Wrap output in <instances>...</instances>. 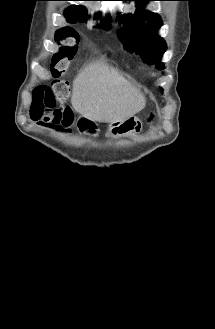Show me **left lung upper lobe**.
Segmentation results:
<instances>
[{"label": "left lung upper lobe", "mask_w": 215, "mask_h": 329, "mask_svg": "<svg viewBox=\"0 0 215 329\" xmlns=\"http://www.w3.org/2000/svg\"><path fill=\"white\" fill-rule=\"evenodd\" d=\"M121 1H135L138 6H143L153 0ZM118 19L126 25L119 30L124 48L142 55L148 64H155L157 69H164L161 57L167 46L165 41L157 34L162 25L160 16L147 10L138 9L133 15H119Z\"/></svg>", "instance_id": "1"}]
</instances>
